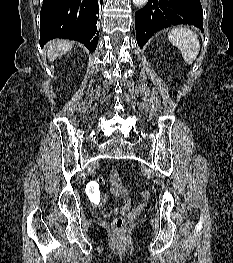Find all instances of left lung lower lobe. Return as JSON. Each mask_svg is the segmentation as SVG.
Segmentation results:
<instances>
[{"instance_id": "1", "label": "left lung lower lobe", "mask_w": 233, "mask_h": 263, "mask_svg": "<svg viewBox=\"0 0 233 263\" xmlns=\"http://www.w3.org/2000/svg\"><path fill=\"white\" fill-rule=\"evenodd\" d=\"M177 24L194 25L203 32L200 0H149L135 13L138 45L142 48L155 32Z\"/></svg>"}]
</instances>
